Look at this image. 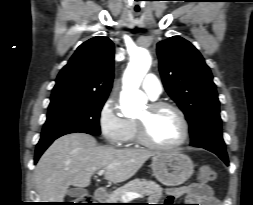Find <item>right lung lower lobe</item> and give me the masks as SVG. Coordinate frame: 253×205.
<instances>
[{"label":"right lung lower lobe","mask_w":253,"mask_h":205,"mask_svg":"<svg viewBox=\"0 0 253 205\" xmlns=\"http://www.w3.org/2000/svg\"><path fill=\"white\" fill-rule=\"evenodd\" d=\"M74 133V132H63L56 135L44 136L41 137L35 151V159L34 162L37 163L38 159L42 155V153L47 149V147L58 137L63 136L65 134Z\"/></svg>","instance_id":"obj_1"}]
</instances>
